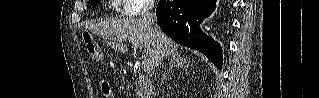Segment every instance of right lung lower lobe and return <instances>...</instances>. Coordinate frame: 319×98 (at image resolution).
<instances>
[{
    "label": "right lung lower lobe",
    "instance_id": "right-lung-lower-lobe-1",
    "mask_svg": "<svg viewBox=\"0 0 319 98\" xmlns=\"http://www.w3.org/2000/svg\"><path fill=\"white\" fill-rule=\"evenodd\" d=\"M215 9L214 0L159 1L156 9L161 30L175 42L205 54L218 68H222V50L199 24Z\"/></svg>",
    "mask_w": 319,
    "mask_h": 98
}]
</instances>
